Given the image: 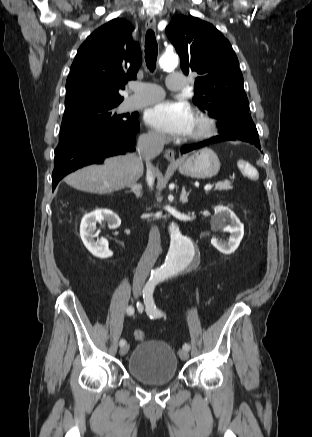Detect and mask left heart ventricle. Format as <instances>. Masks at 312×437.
Instances as JSON below:
<instances>
[{
  "label": "left heart ventricle",
  "mask_w": 312,
  "mask_h": 437,
  "mask_svg": "<svg viewBox=\"0 0 312 437\" xmlns=\"http://www.w3.org/2000/svg\"><path fill=\"white\" fill-rule=\"evenodd\" d=\"M195 128H196V122H194V129H193V131L195 130Z\"/></svg>",
  "instance_id": "1"
}]
</instances>
